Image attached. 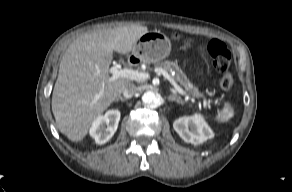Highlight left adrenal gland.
<instances>
[{"mask_svg": "<svg viewBox=\"0 0 292 192\" xmlns=\"http://www.w3.org/2000/svg\"><path fill=\"white\" fill-rule=\"evenodd\" d=\"M168 100L171 102H177L183 104V100L180 97H177L175 95H171L168 97Z\"/></svg>", "mask_w": 292, "mask_h": 192, "instance_id": "1", "label": "left adrenal gland"}]
</instances>
